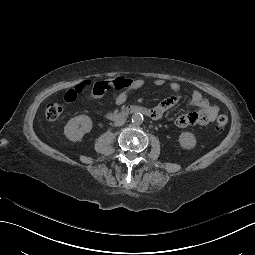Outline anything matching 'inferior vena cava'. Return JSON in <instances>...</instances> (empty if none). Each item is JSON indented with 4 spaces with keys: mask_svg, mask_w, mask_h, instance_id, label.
<instances>
[{
    "mask_svg": "<svg viewBox=\"0 0 255 255\" xmlns=\"http://www.w3.org/2000/svg\"><path fill=\"white\" fill-rule=\"evenodd\" d=\"M125 122H126V118H124V117H118V118H116L115 121H114V126H116V127L122 126V125L125 124Z\"/></svg>",
    "mask_w": 255,
    "mask_h": 255,
    "instance_id": "602c4592",
    "label": "inferior vena cava"
}]
</instances>
